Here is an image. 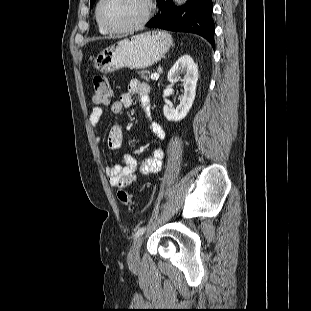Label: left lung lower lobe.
<instances>
[{
	"mask_svg": "<svg viewBox=\"0 0 311 311\" xmlns=\"http://www.w3.org/2000/svg\"><path fill=\"white\" fill-rule=\"evenodd\" d=\"M156 1L160 6V11L147 23V27L195 33L204 37L215 47L212 0H188L181 7L173 5L172 0Z\"/></svg>",
	"mask_w": 311,
	"mask_h": 311,
	"instance_id": "obj_1",
	"label": "left lung lower lobe"
}]
</instances>
